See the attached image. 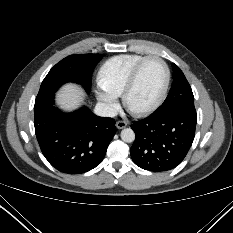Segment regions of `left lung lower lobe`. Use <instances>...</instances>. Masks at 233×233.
Returning a JSON list of instances; mask_svg holds the SVG:
<instances>
[{
  "instance_id": "left-lung-lower-lobe-1",
  "label": "left lung lower lobe",
  "mask_w": 233,
  "mask_h": 233,
  "mask_svg": "<svg viewBox=\"0 0 233 233\" xmlns=\"http://www.w3.org/2000/svg\"><path fill=\"white\" fill-rule=\"evenodd\" d=\"M195 107H177L134 122L136 139L130 149L133 162L142 169L162 172L179 165L195 136Z\"/></svg>"
}]
</instances>
